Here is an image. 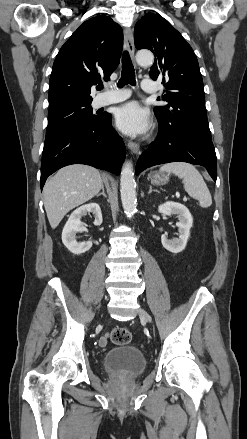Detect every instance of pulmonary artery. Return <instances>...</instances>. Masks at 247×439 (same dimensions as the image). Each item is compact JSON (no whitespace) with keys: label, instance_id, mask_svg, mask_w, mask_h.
I'll return each mask as SVG.
<instances>
[{"label":"pulmonary artery","instance_id":"e3ab8cb5","mask_svg":"<svg viewBox=\"0 0 247 439\" xmlns=\"http://www.w3.org/2000/svg\"><path fill=\"white\" fill-rule=\"evenodd\" d=\"M142 89L146 93H155L157 91V85L151 79H144L142 81ZM128 96H129V94L125 91H122V90L115 91L114 93L102 96L98 100L97 104L99 106H105V105H109V104H113V103H118V102L125 100Z\"/></svg>","mask_w":247,"mask_h":439}]
</instances>
